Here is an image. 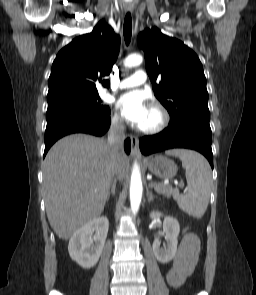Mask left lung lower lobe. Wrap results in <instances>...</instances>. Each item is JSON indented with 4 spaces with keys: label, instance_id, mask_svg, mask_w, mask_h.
Here are the masks:
<instances>
[{
    "label": "left lung lower lobe",
    "instance_id": "0a47b994",
    "mask_svg": "<svg viewBox=\"0 0 256 295\" xmlns=\"http://www.w3.org/2000/svg\"><path fill=\"white\" fill-rule=\"evenodd\" d=\"M144 155L172 148L193 149L202 153L213 168L211 149V128L209 121L197 118H184L169 124L162 132L145 136L139 141Z\"/></svg>",
    "mask_w": 256,
    "mask_h": 295
}]
</instances>
